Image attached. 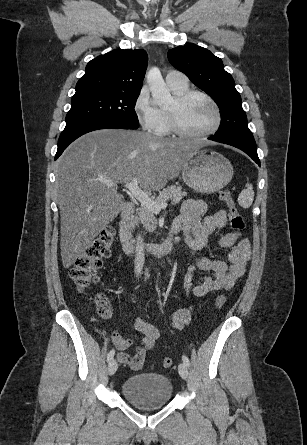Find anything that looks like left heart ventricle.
Here are the masks:
<instances>
[{
  "mask_svg": "<svg viewBox=\"0 0 307 445\" xmlns=\"http://www.w3.org/2000/svg\"><path fill=\"white\" fill-rule=\"evenodd\" d=\"M173 107L172 99L167 105V109ZM179 119L182 125L192 132H204L214 127L217 121V114L214 107L201 98L189 100L179 111Z\"/></svg>",
  "mask_w": 307,
  "mask_h": 445,
  "instance_id": "1",
  "label": "left heart ventricle"
}]
</instances>
